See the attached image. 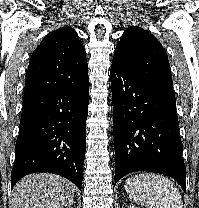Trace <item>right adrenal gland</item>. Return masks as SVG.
I'll list each match as a JSON object with an SVG mask.
<instances>
[{"label": "right adrenal gland", "instance_id": "1", "mask_svg": "<svg viewBox=\"0 0 199 208\" xmlns=\"http://www.w3.org/2000/svg\"><path fill=\"white\" fill-rule=\"evenodd\" d=\"M74 203V201H72L69 205L68 208H72V204Z\"/></svg>", "mask_w": 199, "mask_h": 208}]
</instances>
